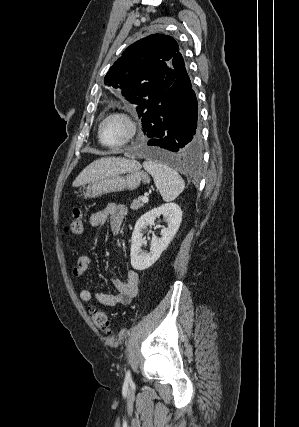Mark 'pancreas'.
Instances as JSON below:
<instances>
[{
	"mask_svg": "<svg viewBox=\"0 0 299 427\" xmlns=\"http://www.w3.org/2000/svg\"><path fill=\"white\" fill-rule=\"evenodd\" d=\"M145 203L146 202L142 201V198H138V199L133 200L132 204L130 205V208L132 210H137V209L143 207Z\"/></svg>",
	"mask_w": 299,
	"mask_h": 427,
	"instance_id": "cf45deb5",
	"label": "pancreas"
}]
</instances>
